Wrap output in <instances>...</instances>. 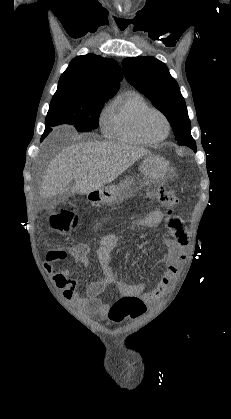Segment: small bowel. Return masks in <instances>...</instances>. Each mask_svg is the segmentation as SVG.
<instances>
[{"mask_svg":"<svg viewBox=\"0 0 231 419\" xmlns=\"http://www.w3.org/2000/svg\"><path fill=\"white\" fill-rule=\"evenodd\" d=\"M164 214L159 210H154L142 219L134 223V228H154L164 220ZM166 229L171 232V236L164 240L168 253L164 258L166 264L164 272L157 286L151 291H146L145 283L128 284L118 279L113 271L110 262L111 256L118 243V237L110 234L102 237L97 248V257L103 272V277L90 283L84 295L77 291V282L70 278L68 271L56 272L52 274L54 285L61 289L65 300L74 304L78 309L107 316L110 304L101 301L99 296L106 287L113 285L122 296H137L141 298L145 305L155 303L168 289L169 284L176 278L179 265L186 258V247L188 244V234L183 221L177 213H168ZM98 227V225L96 226ZM71 254L74 260L82 266L90 265V249L87 244L80 243L72 247ZM47 268L53 269V264L48 263ZM145 312V311H144Z\"/></svg>","mask_w":231,"mask_h":419,"instance_id":"c3829d8e","label":"small bowel"}]
</instances>
